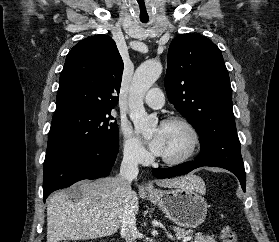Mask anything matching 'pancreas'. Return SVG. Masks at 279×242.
<instances>
[{"label":"pancreas","instance_id":"cf45deb5","mask_svg":"<svg viewBox=\"0 0 279 242\" xmlns=\"http://www.w3.org/2000/svg\"><path fill=\"white\" fill-rule=\"evenodd\" d=\"M173 231L176 232V236L179 238H183L187 235H189V231L185 230V229H181L179 227H172ZM194 242H216L214 239V235L212 236H204L201 234H197L195 236Z\"/></svg>","mask_w":279,"mask_h":242}]
</instances>
